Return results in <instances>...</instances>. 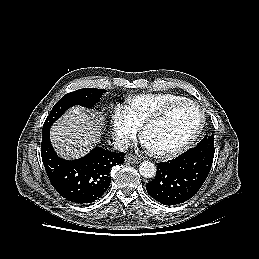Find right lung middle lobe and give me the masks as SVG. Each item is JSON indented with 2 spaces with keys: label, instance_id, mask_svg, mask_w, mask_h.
I'll use <instances>...</instances> for the list:
<instances>
[{
  "label": "right lung middle lobe",
  "instance_id": "1",
  "mask_svg": "<svg viewBox=\"0 0 259 259\" xmlns=\"http://www.w3.org/2000/svg\"><path fill=\"white\" fill-rule=\"evenodd\" d=\"M104 92H106L104 89L83 88L67 93L53 106L43 125L42 131L50 129L52 124L72 106L80 105L86 108H93L99 102Z\"/></svg>",
  "mask_w": 259,
  "mask_h": 259
}]
</instances>
